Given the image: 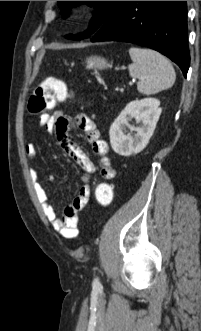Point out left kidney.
I'll return each instance as SVG.
<instances>
[{
	"instance_id": "5707ae66",
	"label": "left kidney",
	"mask_w": 201,
	"mask_h": 331,
	"mask_svg": "<svg viewBox=\"0 0 201 331\" xmlns=\"http://www.w3.org/2000/svg\"><path fill=\"white\" fill-rule=\"evenodd\" d=\"M159 106L160 101L155 98L134 100L127 104L109 131L110 143L116 153L127 157L141 152L146 147L162 112ZM132 119L141 125H130ZM126 128L131 132L135 131L134 136L127 133Z\"/></svg>"
}]
</instances>
